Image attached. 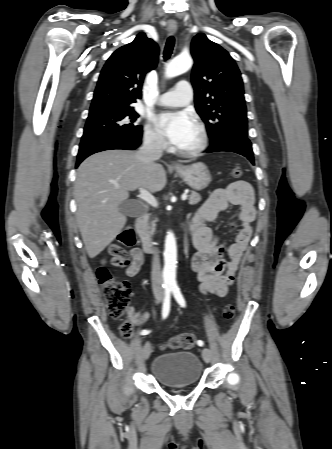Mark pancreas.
<instances>
[{
	"label": "pancreas",
	"mask_w": 332,
	"mask_h": 449,
	"mask_svg": "<svg viewBox=\"0 0 332 449\" xmlns=\"http://www.w3.org/2000/svg\"><path fill=\"white\" fill-rule=\"evenodd\" d=\"M200 200H201V196L197 192H192L189 196V204H191V205L197 204ZM156 221L157 220H153V221L145 223L143 226L144 230L152 235L155 232Z\"/></svg>",
	"instance_id": "obj_1"
}]
</instances>
